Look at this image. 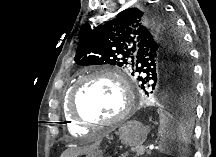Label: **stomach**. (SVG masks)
<instances>
[{"label":"stomach","mask_w":216,"mask_h":157,"mask_svg":"<svg viewBox=\"0 0 216 157\" xmlns=\"http://www.w3.org/2000/svg\"><path fill=\"white\" fill-rule=\"evenodd\" d=\"M116 134L119 135L124 144L137 146L146 140L148 129L137 121H128L119 126ZM86 157H104V151L97 147L92 153L87 154Z\"/></svg>","instance_id":"1"}]
</instances>
